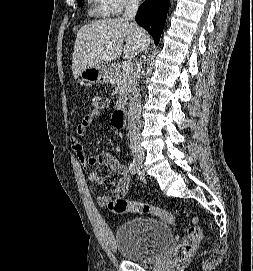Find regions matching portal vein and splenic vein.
<instances>
[{
	"mask_svg": "<svg viewBox=\"0 0 253 271\" xmlns=\"http://www.w3.org/2000/svg\"><path fill=\"white\" fill-rule=\"evenodd\" d=\"M132 68H133V65L130 61H125L123 64H122V70L123 72H130L132 71Z\"/></svg>",
	"mask_w": 253,
	"mask_h": 271,
	"instance_id": "portal-vein-and-splenic-vein-1",
	"label": "portal vein and splenic vein"
}]
</instances>
